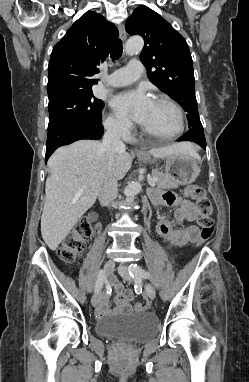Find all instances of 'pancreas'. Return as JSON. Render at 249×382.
Wrapping results in <instances>:
<instances>
[{
  "mask_svg": "<svg viewBox=\"0 0 249 382\" xmlns=\"http://www.w3.org/2000/svg\"><path fill=\"white\" fill-rule=\"evenodd\" d=\"M152 176L158 178V181L156 182V189H175L179 186V181L169 177L157 169L152 170Z\"/></svg>",
  "mask_w": 249,
  "mask_h": 382,
  "instance_id": "1",
  "label": "pancreas"
}]
</instances>
